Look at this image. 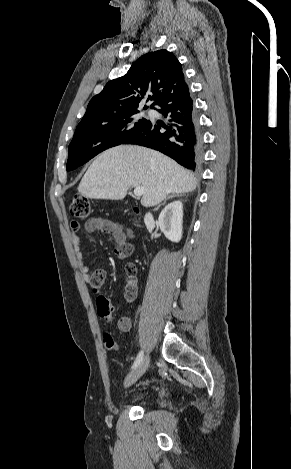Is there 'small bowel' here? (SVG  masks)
Wrapping results in <instances>:
<instances>
[{
  "label": "small bowel",
  "mask_w": 291,
  "mask_h": 469,
  "mask_svg": "<svg viewBox=\"0 0 291 469\" xmlns=\"http://www.w3.org/2000/svg\"><path fill=\"white\" fill-rule=\"evenodd\" d=\"M71 228L73 230L71 239H72L77 266L79 270L81 271L85 282L88 283L89 286L93 290L97 291L104 284L106 277H107V271L104 268H97L95 270H90L89 265L85 263L84 261V253L82 250L80 237L77 234V232L81 229V225L80 223L73 221L71 223ZM85 229L88 232L102 231V232L111 234L117 243V246L115 249L116 254H117V249L125 244V237H126L125 231L122 228V226H120L116 222L94 217L87 221V223L85 224ZM127 256L128 255L119 256V257L126 258ZM136 295H137V291L134 293L132 297H130L129 292L127 290V282H126V288H125L126 300L132 301L135 299ZM117 325H118L119 330L122 332H128L131 329V321L128 317H121L118 320Z\"/></svg>",
  "instance_id": "c3829d8e"
}]
</instances>
